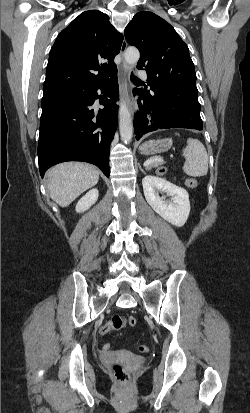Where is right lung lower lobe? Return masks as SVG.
<instances>
[{"mask_svg": "<svg viewBox=\"0 0 250 413\" xmlns=\"http://www.w3.org/2000/svg\"><path fill=\"white\" fill-rule=\"evenodd\" d=\"M117 70L100 84L64 94L43 96L38 159L40 175L64 161H84L98 166L109 177V146L118 117ZM101 89L104 98L97 90ZM104 108L96 107V99Z\"/></svg>", "mask_w": 250, "mask_h": 413, "instance_id": "obj_1", "label": "right lung lower lobe"}]
</instances>
